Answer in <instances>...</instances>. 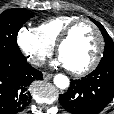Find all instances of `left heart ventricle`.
Here are the masks:
<instances>
[{"instance_id": "left-heart-ventricle-1", "label": "left heart ventricle", "mask_w": 114, "mask_h": 114, "mask_svg": "<svg viewBox=\"0 0 114 114\" xmlns=\"http://www.w3.org/2000/svg\"><path fill=\"white\" fill-rule=\"evenodd\" d=\"M98 37L93 27L86 22L79 24L70 38L60 49V57L69 68L80 69L87 66L96 54Z\"/></svg>"}]
</instances>
